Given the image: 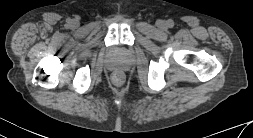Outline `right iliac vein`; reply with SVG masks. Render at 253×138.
<instances>
[{
  "label": "right iliac vein",
  "instance_id": "obj_1",
  "mask_svg": "<svg viewBox=\"0 0 253 138\" xmlns=\"http://www.w3.org/2000/svg\"><path fill=\"white\" fill-rule=\"evenodd\" d=\"M72 24H73V25H77V21H76V20H73Z\"/></svg>",
  "mask_w": 253,
  "mask_h": 138
}]
</instances>
